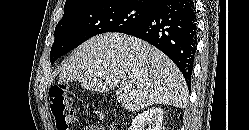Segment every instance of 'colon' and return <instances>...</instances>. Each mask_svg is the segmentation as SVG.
Here are the masks:
<instances>
[{"mask_svg":"<svg viewBox=\"0 0 249 130\" xmlns=\"http://www.w3.org/2000/svg\"><path fill=\"white\" fill-rule=\"evenodd\" d=\"M50 110L57 130H70L75 121L74 110L67 96L66 87L53 86L49 90Z\"/></svg>","mask_w":249,"mask_h":130,"instance_id":"obj_1","label":"colon"}]
</instances>
